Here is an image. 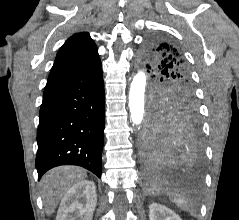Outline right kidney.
Returning a JSON list of instances; mask_svg holds the SVG:
<instances>
[{
	"instance_id": "right-kidney-1",
	"label": "right kidney",
	"mask_w": 239,
	"mask_h": 220,
	"mask_svg": "<svg viewBox=\"0 0 239 220\" xmlns=\"http://www.w3.org/2000/svg\"><path fill=\"white\" fill-rule=\"evenodd\" d=\"M96 204L95 183L79 181L64 195L56 220H92Z\"/></svg>"
}]
</instances>
